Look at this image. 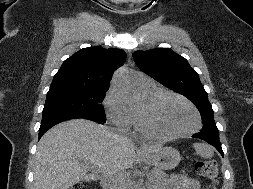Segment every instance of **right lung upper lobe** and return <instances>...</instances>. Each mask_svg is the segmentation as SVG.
I'll return each instance as SVG.
<instances>
[{"label": "right lung upper lobe", "instance_id": "right-lung-upper-lobe-1", "mask_svg": "<svg viewBox=\"0 0 253 189\" xmlns=\"http://www.w3.org/2000/svg\"><path fill=\"white\" fill-rule=\"evenodd\" d=\"M121 49L89 47L66 59L55 74L50 88L65 86L109 87L113 72L124 64Z\"/></svg>", "mask_w": 253, "mask_h": 189}]
</instances>
